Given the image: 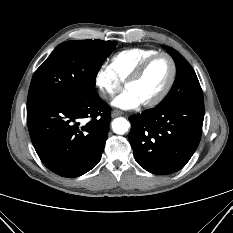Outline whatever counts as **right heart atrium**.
<instances>
[{
	"mask_svg": "<svg viewBox=\"0 0 233 233\" xmlns=\"http://www.w3.org/2000/svg\"><path fill=\"white\" fill-rule=\"evenodd\" d=\"M95 84L101 97L105 100L111 99L122 87V84L110 71L109 67L103 65L96 73Z\"/></svg>",
	"mask_w": 233,
	"mask_h": 233,
	"instance_id": "d8ad5b80",
	"label": "right heart atrium"
}]
</instances>
